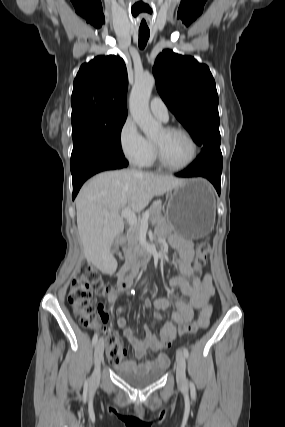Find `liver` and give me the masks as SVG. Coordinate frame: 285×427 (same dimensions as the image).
<instances>
[{"instance_id":"6515ba94","label":"liver","mask_w":285,"mask_h":427,"mask_svg":"<svg viewBox=\"0 0 285 427\" xmlns=\"http://www.w3.org/2000/svg\"><path fill=\"white\" fill-rule=\"evenodd\" d=\"M183 179L134 169L108 171L86 182L76 198L77 227L85 257L98 268L114 261V238L124 230L119 211L141 212L153 199L179 186Z\"/></svg>"}]
</instances>
